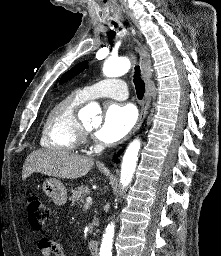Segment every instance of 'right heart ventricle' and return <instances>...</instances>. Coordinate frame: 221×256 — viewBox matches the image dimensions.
Here are the masks:
<instances>
[{
  "mask_svg": "<svg viewBox=\"0 0 221 256\" xmlns=\"http://www.w3.org/2000/svg\"><path fill=\"white\" fill-rule=\"evenodd\" d=\"M86 100L80 91L73 92L50 109L41 132L43 147L63 152L76 150L82 137L77 110Z\"/></svg>",
  "mask_w": 221,
  "mask_h": 256,
  "instance_id": "right-heart-ventricle-1",
  "label": "right heart ventricle"
}]
</instances>
